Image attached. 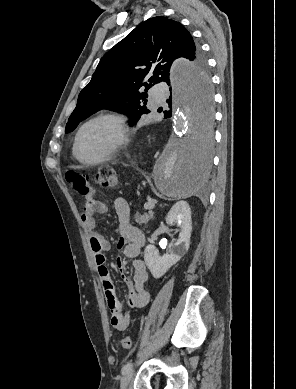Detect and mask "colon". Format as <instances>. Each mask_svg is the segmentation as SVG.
<instances>
[{"label": "colon", "mask_w": 296, "mask_h": 389, "mask_svg": "<svg viewBox=\"0 0 296 389\" xmlns=\"http://www.w3.org/2000/svg\"><path fill=\"white\" fill-rule=\"evenodd\" d=\"M67 180L73 189L80 195L86 197L92 192L91 179L89 175L69 172ZM94 181L97 185L105 188H112L118 184V177L113 168L108 166L100 167L95 175ZM121 346L129 350L132 347V340L129 336H124L121 339Z\"/></svg>", "instance_id": "colon-1"}]
</instances>
